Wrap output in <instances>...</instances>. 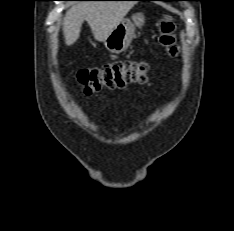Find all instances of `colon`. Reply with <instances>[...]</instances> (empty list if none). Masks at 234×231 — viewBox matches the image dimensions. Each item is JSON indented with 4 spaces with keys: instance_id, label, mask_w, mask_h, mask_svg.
<instances>
[{
    "instance_id": "1",
    "label": "colon",
    "mask_w": 234,
    "mask_h": 231,
    "mask_svg": "<svg viewBox=\"0 0 234 231\" xmlns=\"http://www.w3.org/2000/svg\"><path fill=\"white\" fill-rule=\"evenodd\" d=\"M174 25L169 17L158 24V42L165 47L171 56L177 55L173 37ZM149 67L140 61H115L100 67L84 69L78 72L77 78L84 86V92L91 94L102 88L121 89L131 83H145Z\"/></svg>"
}]
</instances>
